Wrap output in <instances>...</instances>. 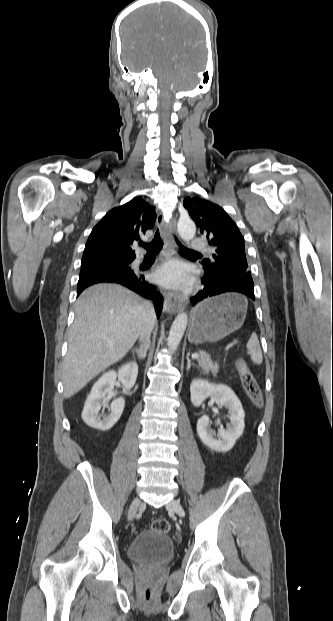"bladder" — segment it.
Masks as SVG:
<instances>
[{
    "instance_id": "obj_1",
    "label": "bladder",
    "mask_w": 333,
    "mask_h": 621,
    "mask_svg": "<svg viewBox=\"0 0 333 621\" xmlns=\"http://www.w3.org/2000/svg\"><path fill=\"white\" fill-rule=\"evenodd\" d=\"M128 557L137 563H167L174 556V544L165 533L145 530L127 548Z\"/></svg>"
}]
</instances>
